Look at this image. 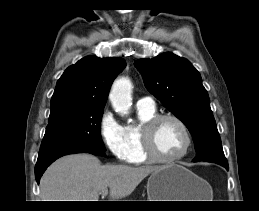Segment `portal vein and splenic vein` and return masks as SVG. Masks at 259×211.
I'll list each match as a JSON object with an SVG mask.
<instances>
[{
	"label": "portal vein and splenic vein",
	"mask_w": 259,
	"mask_h": 211,
	"mask_svg": "<svg viewBox=\"0 0 259 211\" xmlns=\"http://www.w3.org/2000/svg\"><path fill=\"white\" fill-rule=\"evenodd\" d=\"M100 194H101L102 197H104V196H106L108 194V190H102L100 192Z\"/></svg>",
	"instance_id": "portal-vein-and-splenic-vein-1"
}]
</instances>
